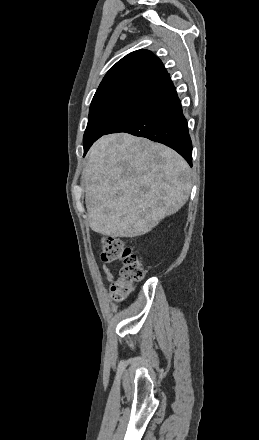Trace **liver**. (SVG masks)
<instances>
[{
	"instance_id": "obj_1",
	"label": "liver",
	"mask_w": 259,
	"mask_h": 440,
	"mask_svg": "<svg viewBox=\"0 0 259 440\" xmlns=\"http://www.w3.org/2000/svg\"><path fill=\"white\" fill-rule=\"evenodd\" d=\"M83 175L89 226L113 238L148 233L183 207L192 187L178 153L127 133L98 139Z\"/></svg>"
}]
</instances>
